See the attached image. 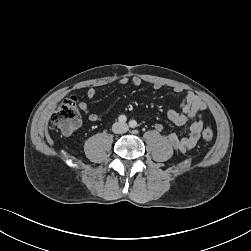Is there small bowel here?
Wrapping results in <instances>:
<instances>
[{"mask_svg":"<svg viewBox=\"0 0 251 251\" xmlns=\"http://www.w3.org/2000/svg\"><path fill=\"white\" fill-rule=\"evenodd\" d=\"M119 83L123 86L133 85L138 87L142 84V80L138 76L123 77ZM162 86L160 84H154L153 89L159 90ZM99 89L91 87L87 91V97L93 99ZM174 91L182 92L180 87H175ZM79 108L84 114L88 116V119L92 122H100L101 116L93 112L87 103L80 102ZM182 113L176 110L170 109L167 111V118L178 126H188L187 135L183 138L178 137L176 134L171 133L168 135L169 144L178 152H187L191 150L198 142L200 132L203 127L202 112L206 109V104L193 92L188 91L180 104ZM155 129L158 132L163 130L161 124H156Z\"/></svg>","mask_w":251,"mask_h":251,"instance_id":"c3829d8e","label":"small bowel"}]
</instances>
